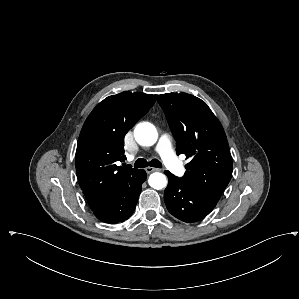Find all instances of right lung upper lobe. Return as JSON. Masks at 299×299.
Segmentation results:
<instances>
[{
  "instance_id": "1",
  "label": "right lung upper lobe",
  "mask_w": 299,
  "mask_h": 299,
  "mask_svg": "<svg viewBox=\"0 0 299 299\" xmlns=\"http://www.w3.org/2000/svg\"><path fill=\"white\" fill-rule=\"evenodd\" d=\"M156 95L122 92L90 113L81 130L76 156L79 184L93 210L138 169L117 166L124 159V136L156 101Z\"/></svg>"
}]
</instances>
